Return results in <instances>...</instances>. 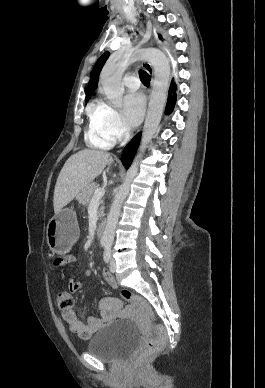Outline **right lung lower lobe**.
<instances>
[{
  "label": "right lung lower lobe",
  "instance_id": "98d812e1",
  "mask_svg": "<svg viewBox=\"0 0 265 388\" xmlns=\"http://www.w3.org/2000/svg\"><path fill=\"white\" fill-rule=\"evenodd\" d=\"M140 137L141 133L136 135L124 149L121 160L126 169H128L131 165V162L134 158V155L140 142Z\"/></svg>",
  "mask_w": 265,
  "mask_h": 388
}]
</instances>
